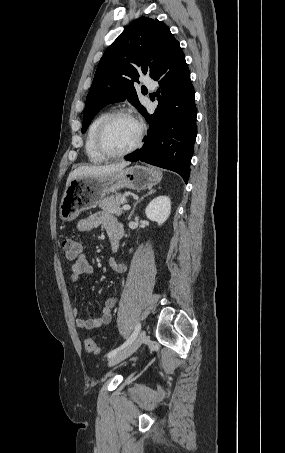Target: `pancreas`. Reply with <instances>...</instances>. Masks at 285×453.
Returning a JSON list of instances; mask_svg holds the SVG:
<instances>
[{
    "label": "pancreas",
    "mask_w": 285,
    "mask_h": 453,
    "mask_svg": "<svg viewBox=\"0 0 285 453\" xmlns=\"http://www.w3.org/2000/svg\"><path fill=\"white\" fill-rule=\"evenodd\" d=\"M126 201V198L121 194L112 195L102 200L99 204V208L106 212L121 216L124 214V210L120 206Z\"/></svg>",
    "instance_id": "1"
}]
</instances>
